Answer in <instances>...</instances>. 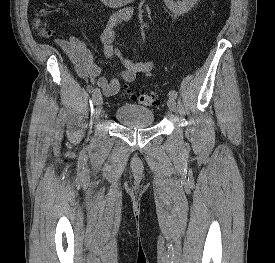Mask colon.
Here are the masks:
<instances>
[{
  "instance_id": "obj_1",
  "label": "colon",
  "mask_w": 275,
  "mask_h": 263,
  "mask_svg": "<svg viewBox=\"0 0 275 263\" xmlns=\"http://www.w3.org/2000/svg\"><path fill=\"white\" fill-rule=\"evenodd\" d=\"M35 23L38 27V34L41 37H49L51 35V32L46 28L40 19H37ZM123 94L126 97L131 98L133 102L143 106H157L160 103L158 96L152 93H136L130 91L129 89H124Z\"/></svg>"
}]
</instances>
